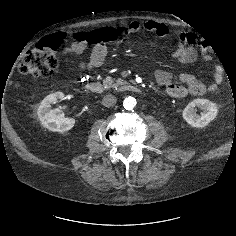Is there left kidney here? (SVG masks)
<instances>
[{"label": "left kidney", "mask_w": 236, "mask_h": 236, "mask_svg": "<svg viewBox=\"0 0 236 236\" xmlns=\"http://www.w3.org/2000/svg\"><path fill=\"white\" fill-rule=\"evenodd\" d=\"M195 107H199L203 112L196 114ZM218 108L215 103L207 99H194L183 110V119L192 127L203 128L207 126L217 116Z\"/></svg>", "instance_id": "left-kidney-1"}]
</instances>
